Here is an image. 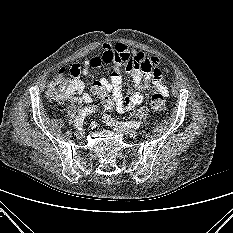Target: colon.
I'll return each instance as SVG.
<instances>
[{"instance_id":"5ec220e1","label":"colon","mask_w":233,"mask_h":233,"mask_svg":"<svg viewBox=\"0 0 233 233\" xmlns=\"http://www.w3.org/2000/svg\"><path fill=\"white\" fill-rule=\"evenodd\" d=\"M68 81L64 77V72H61L48 84L47 95L52 101L62 100L68 94ZM92 95L99 99L105 110H111L114 107V102L110 97V92L99 82L95 81L91 86ZM151 107L158 112L165 110L166 97L163 93L156 91L150 98Z\"/></svg>"}]
</instances>
